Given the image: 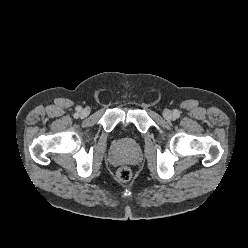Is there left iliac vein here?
Segmentation results:
<instances>
[{
  "label": "left iliac vein",
  "instance_id": "1",
  "mask_svg": "<svg viewBox=\"0 0 248 248\" xmlns=\"http://www.w3.org/2000/svg\"><path fill=\"white\" fill-rule=\"evenodd\" d=\"M163 116H164V118H165L166 120H171V119L173 118L172 112H171L170 110H168V109H165V110L163 111Z\"/></svg>",
  "mask_w": 248,
  "mask_h": 248
}]
</instances>
